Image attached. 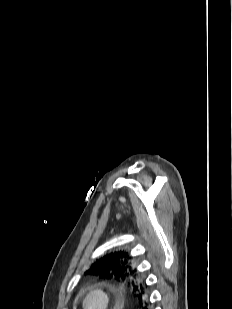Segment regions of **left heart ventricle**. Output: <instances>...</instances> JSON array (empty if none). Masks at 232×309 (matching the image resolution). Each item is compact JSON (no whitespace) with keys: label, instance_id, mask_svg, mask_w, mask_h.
I'll return each instance as SVG.
<instances>
[{"label":"left heart ventricle","instance_id":"left-heart-ventricle-1","mask_svg":"<svg viewBox=\"0 0 232 309\" xmlns=\"http://www.w3.org/2000/svg\"><path fill=\"white\" fill-rule=\"evenodd\" d=\"M102 300L99 296L93 295L88 299V309H100Z\"/></svg>","mask_w":232,"mask_h":309}]
</instances>
